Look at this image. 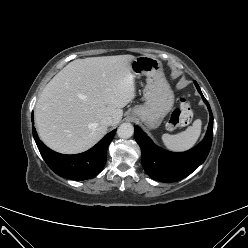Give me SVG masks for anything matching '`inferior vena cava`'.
I'll list each match as a JSON object with an SVG mask.
<instances>
[{
  "label": "inferior vena cava",
  "instance_id": "602c4592",
  "mask_svg": "<svg viewBox=\"0 0 248 248\" xmlns=\"http://www.w3.org/2000/svg\"><path fill=\"white\" fill-rule=\"evenodd\" d=\"M113 123V119L110 116H106L102 119V124L105 126H110Z\"/></svg>",
  "mask_w": 248,
  "mask_h": 248
}]
</instances>
